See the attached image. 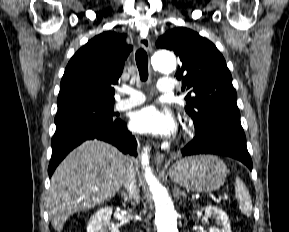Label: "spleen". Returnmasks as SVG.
I'll list each match as a JSON object with an SVG mask.
<instances>
[{
	"label": "spleen",
	"mask_w": 289,
	"mask_h": 232,
	"mask_svg": "<svg viewBox=\"0 0 289 232\" xmlns=\"http://www.w3.org/2000/svg\"><path fill=\"white\" fill-rule=\"evenodd\" d=\"M235 194L239 201L240 210L247 216L252 213V201L249 191L243 181L239 178H235Z\"/></svg>",
	"instance_id": "obj_1"
}]
</instances>
